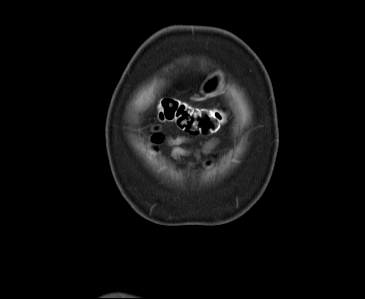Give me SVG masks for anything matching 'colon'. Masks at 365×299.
<instances>
[{
  "instance_id": "5ec220e1",
  "label": "colon",
  "mask_w": 365,
  "mask_h": 299,
  "mask_svg": "<svg viewBox=\"0 0 365 299\" xmlns=\"http://www.w3.org/2000/svg\"><path fill=\"white\" fill-rule=\"evenodd\" d=\"M160 123H174L191 135H209L216 132L222 122V113L213 108H195L175 99H164L158 110ZM162 141L157 133L155 143Z\"/></svg>"
}]
</instances>
